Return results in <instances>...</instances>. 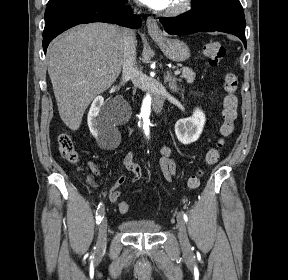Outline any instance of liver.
<instances>
[{"mask_svg":"<svg viewBox=\"0 0 288 280\" xmlns=\"http://www.w3.org/2000/svg\"><path fill=\"white\" fill-rule=\"evenodd\" d=\"M123 28L90 23L49 48L48 74L62 121L78 130L91 101L116 81L123 62Z\"/></svg>","mask_w":288,"mask_h":280,"instance_id":"6515ba94","label":"liver"}]
</instances>
